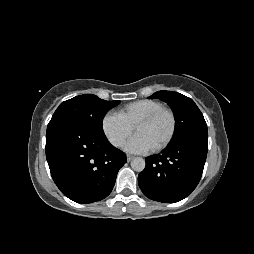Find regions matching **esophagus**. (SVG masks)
<instances>
[{"instance_id":"34e87169","label":"esophagus","mask_w":254,"mask_h":254,"mask_svg":"<svg viewBox=\"0 0 254 254\" xmlns=\"http://www.w3.org/2000/svg\"><path fill=\"white\" fill-rule=\"evenodd\" d=\"M133 158H134V156H132V155H127V161H128V162H130Z\"/></svg>"}]
</instances>
